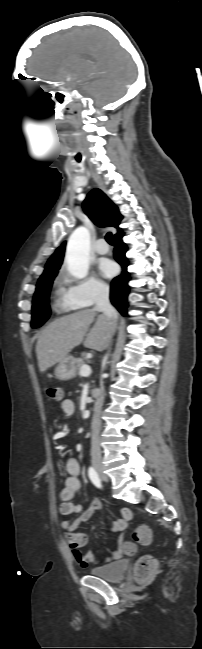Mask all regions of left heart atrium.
I'll list each match as a JSON object with an SVG mask.
<instances>
[{
    "label": "left heart atrium",
    "instance_id": "left-heart-atrium-1",
    "mask_svg": "<svg viewBox=\"0 0 202 649\" xmlns=\"http://www.w3.org/2000/svg\"><path fill=\"white\" fill-rule=\"evenodd\" d=\"M100 271H101L102 275H104L105 277H111V276H113L115 274L116 269H115L114 264L111 261L104 260L100 264Z\"/></svg>",
    "mask_w": 202,
    "mask_h": 649
}]
</instances>
